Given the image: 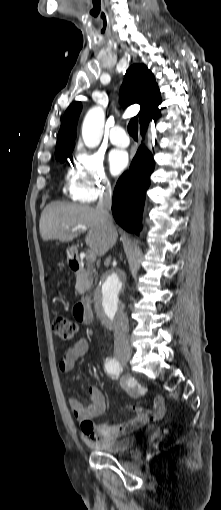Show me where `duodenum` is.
Listing matches in <instances>:
<instances>
[{
	"label": "duodenum",
	"mask_w": 221,
	"mask_h": 510,
	"mask_svg": "<svg viewBox=\"0 0 221 510\" xmlns=\"http://www.w3.org/2000/svg\"><path fill=\"white\" fill-rule=\"evenodd\" d=\"M70 268L72 271L77 273H85L86 270L83 267L80 257L75 251L72 249L70 251ZM75 315L86 324L93 322V314L90 310V298L85 297L80 302H78L74 308Z\"/></svg>",
	"instance_id": "duodenum-1"
}]
</instances>
